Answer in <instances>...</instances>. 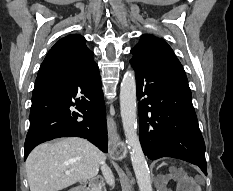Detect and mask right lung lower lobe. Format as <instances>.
<instances>
[{
    "label": "right lung lower lobe",
    "instance_id": "obj_1",
    "mask_svg": "<svg viewBox=\"0 0 233 191\" xmlns=\"http://www.w3.org/2000/svg\"><path fill=\"white\" fill-rule=\"evenodd\" d=\"M69 136L85 138L107 153L106 110L96 63L77 74L37 76L24 160L40 143Z\"/></svg>",
    "mask_w": 233,
    "mask_h": 191
}]
</instances>
